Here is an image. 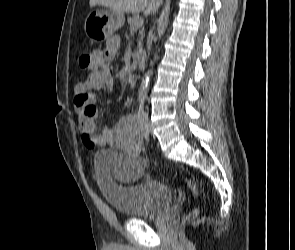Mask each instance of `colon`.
Returning a JSON list of instances; mask_svg holds the SVG:
<instances>
[{"mask_svg": "<svg viewBox=\"0 0 295 250\" xmlns=\"http://www.w3.org/2000/svg\"><path fill=\"white\" fill-rule=\"evenodd\" d=\"M93 64V57L90 53H84L79 58V65L84 68H90ZM180 180L188 187V189L192 192L194 196H198V188L194 180L181 177ZM198 214V209H193L188 215L187 218L195 217Z\"/></svg>", "mask_w": 295, "mask_h": 250, "instance_id": "1", "label": "colon"}]
</instances>
